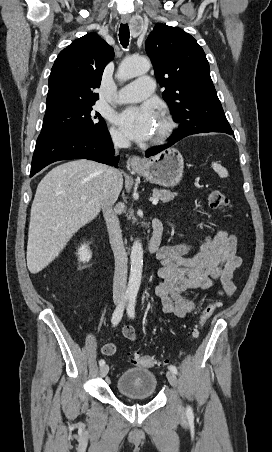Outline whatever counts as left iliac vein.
I'll use <instances>...</instances> for the list:
<instances>
[{"label":"left iliac vein","mask_w":272,"mask_h":452,"mask_svg":"<svg viewBox=\"0 0 272 452\" xmlns=\"http://www.w3.org/2000/svg\"><path fill=\"white\" fill-rule=\"evenodd\" d=\"M166 376H167V379H168L169 383H170L174 388H177L178 382H177V377H176L175 373L172 372L171 370H168V371L166 372ZM178 407H179L180 410H183V407H182V404H181L180 400H179V402H178Z\"/></svg>","instance_id":"obj_1"}]
</instances>
